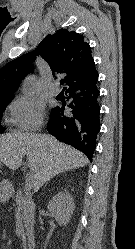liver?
I'll return each instance as SVG.
<instances>
[{"label": "liver", "instance_id": "6515ba94", "mask_svg": "<svg viewBox=\"0 0 135 249\" xmlns=\"http://www.w3.org/2000/svg\"><path fill=\"white\" fill-rule=\"evenodd\" d=\"M38 190L54 176L86 166L88 158L77 149L46 134L12 133L0 135V162L12 170L20 167L23 156Z\"/></svg>", "mask_w": 135, "mask_h": 249}]
</instances>
